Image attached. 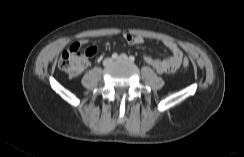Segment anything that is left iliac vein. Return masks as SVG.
I'll return each instance as SVG.
<instances>
[{"mask_svg":"<svg viewBox=\"0 0 244 157\" xmlns=\"http://www.w3.org/2000/svg\"><path fill=\"white\" fill-rule=\"evenodd\" d=\"M117 61H128V57L125 54H121L118 58Z\"/></svg>","mask_w":244,"mask_h":157,"instance_id":"4c4485c4","label":"left iliac vein"}]
</instances>
